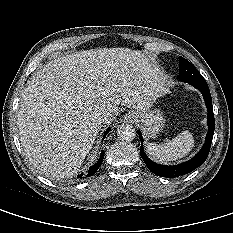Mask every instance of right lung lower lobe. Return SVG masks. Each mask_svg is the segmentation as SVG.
<instances>
[{
    "mask_svg": "<svg viewBox=\"0 0 233 233\" xmlns=\"http://www.w3.org/2000/svg\"><path fill=\"white\" fill-rule=\"evenodd\" d=\"M109 131H110V128H108V129L106 130V132H105L103 138L106 137V135H107V133H108ZM103 158H104V152L101 153V156H100L98 162H97L95 165H93V166H91V167L89 168V171H88V173H87V177L92 176V175L99 169V167L101 166V163H102V161H103ZM78 177L81 178V179H82V178H85V177H83L82 174L79 175Z\"/></svg>",
    "mask_w": 233,
    "mask_h": 233,
    "instance_id": "1",
    "label": "right lung lower lobe"
}]
</instances>
